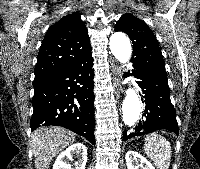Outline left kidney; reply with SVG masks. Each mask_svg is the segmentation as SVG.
I'll return each instance as SVG.
<instances>
[{
	"label": "left kidney",
	"instance_id": "left-kidney-1",
	"mask_svg": "<svg viewBox=\"0 0 200 169\" xmlns=\"http://www.w3.org/2000/svg\"><path fill=\"white\" fill-rule=\"evenodd\" d=\"M125 160L127 169H155L145 157L133 150L126 153Z\"/></svg>",
	"mask_w": 200,
	"mask_h": 169
}]
</instances>
